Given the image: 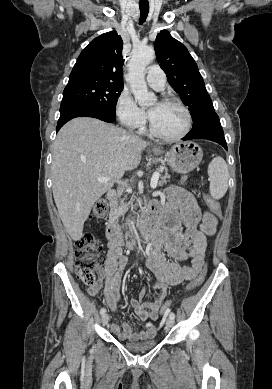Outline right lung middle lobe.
Returning a JSON list of instances; mask_svg holds the SVG:
<instances>
[{"mask_svg":"<svg viewBox=\"0 0 272 389\" xmlns=\"http://www.w3.org/2000/svg\"><path fill=\"white\" fill-rule=\"evenodd\" d=\"M122 90V84L110 82L80 81L68 83L64 89L61 104H88L116 115V103Z\"/></svg>","mask_w":272,"mask_h":389,"instance_id":"obj_1","label":"right lung middle lobe"}]
</instances>
